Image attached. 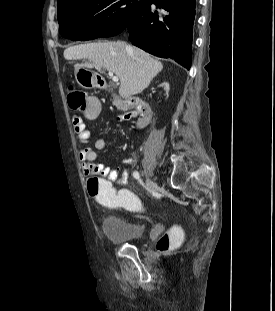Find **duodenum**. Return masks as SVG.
<instances>
[{
  "mask_svg": "<svg viewBox=\"0 0 275 311\" xmlns=\"http://www.w3.org/2000/svg\"><path fill=\"white\" fill-rule=\"evenodd\" d=\"M94 83L99 84V87H101L102 89L109 91L111 94H113L112 89L110 87V84L105 81L104 77H95ZM113 101L119 107H122L125 109H134L135 108L138 111V120H137L138 128H144L145 126H147V124L149 123L150 118H151V109L147 103H145L139 99H135V98L122 99V98L117 97V96L113 97Z\"/></svg>",
  "mask_w": 275,
  "mask_h": 311,
  "instance_id": "410a0bca",
  "label": "duodenum"
}]
</instances>
